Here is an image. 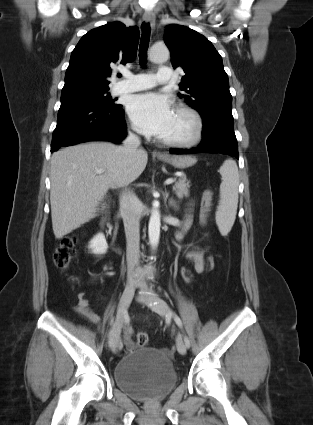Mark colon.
Wrapping results in <instances>:
<instances>
[{"label":"colon","mask_w":313,"mask_h":425,"mask_svg":"<svg viewBox=\"0 0 313 425\" xmlns=\"http://www.w3.org/2000/svg\"><path fill=\"white\" fill-rule=\"evenodd\" d=\"M204 206L202 205V209ZM78 243V238L76 236H67L64 237L59 245L55 248L53 253V261L57 268L65 270L69 267L73 255L76 251ZM215 259L212 256H209L206 259V271L211 270L214 267ZM194 279V273L188 268H182L180 270V276L178 282L183 285L191 283ZM136 342L138 346L144 347L149 343L148 334L144 331L139 332L136 335Z\"/></svg>","instance_id":"5ec220e1"}]
</instances>
